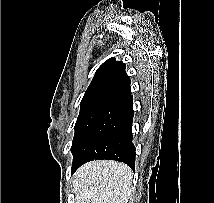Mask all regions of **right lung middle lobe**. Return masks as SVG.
<instances>
[{
  "label": "right lung middle lobe",
  "instance_id": "1",
  "mask_svg": "<svg viewBox=\"0 0 214 203\" xmlns=\"http://www.w3.org/2000/svg\"><path fill=\"white\" fill-rule=\"evenodd\" d=\"M114 99L107 97H92L82 99L81 109L75 124V135L71 147L72 153L85 137L94 122L113 103Z\"/></svg>",
  "mask_w": 214,
  "mask_h": 203
}]
</instances>
